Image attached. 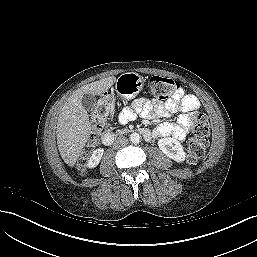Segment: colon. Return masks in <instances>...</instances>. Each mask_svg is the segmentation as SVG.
I'll return each instance as SVG.
<instances>
[{
	"instance_id": "5ec220e1",
	"label": "colon",
	"mask_w": 257,
	"mask_h": 257,
	"mask_svg": "<svg viewBox=\"0 0 257 257\" xmlns=\"http://www.w3.org/2000/svg\"><path fill=\"white\" fill-rule=\"evenodd\" d=\"M148 88L154 97L165 99L177 90L178 82L171 78L153 76L148 81ZM113 106L114 98L110 94L106 93L98 99L91 116V145L96 143L99 132L105 127L112 114ZM188 118L192 124L193 137L189 142L187 158L190 164H195L205 155L208 147L209 122L207 117L199 112H191ZM85 161L86 154L78 163L80 169L85 167Z\"/></svg>"
}]
</instances>
